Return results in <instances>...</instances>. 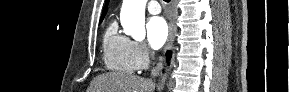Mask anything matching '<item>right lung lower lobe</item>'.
I'll return each mask as SVG.
<instances>
[{"label": "right lung lower lobe", "instance_id": "right-lung-lower-lobe-1", "mask_svg": "<svg viewBox=\"0 0 289 92\" xmlns=\"http://www.w3.org/2000/svg\"><path fill=\"white\" fill-rule=\"evenodd\" d=\"M170 56H171L170 52H167V54H166L167 61H169Z\"/></svg>", "mask_w": 289, "mask_h": 92}]
</instances>
